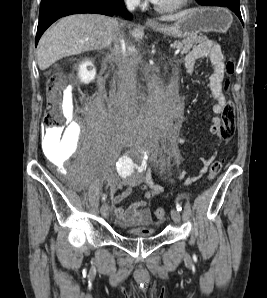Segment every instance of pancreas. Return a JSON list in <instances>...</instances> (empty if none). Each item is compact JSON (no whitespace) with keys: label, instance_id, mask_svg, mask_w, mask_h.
<instances>
[{"label":"pancreas","instance_id":"cf45deb5","mask_svg":"<svg viewBox=\"0 0 267 298\" xmlns=\"http://www.w3.org/2000/svg\"><path fill=\"white\" fill-rule=\"evenodd\" d=\"M202 37L191 36L182 41H174L173 47L181 49V55L187 54L190 50L201 41Z\"/></svg>","mask_w":267,"mask_h":298}]
</instances>
